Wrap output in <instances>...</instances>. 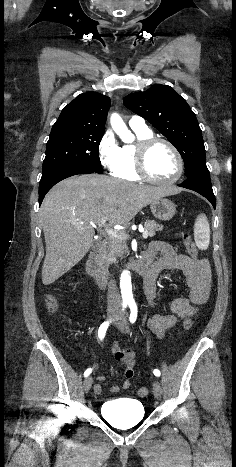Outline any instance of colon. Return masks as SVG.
Segmentation results:
<instances>
[{
    "mask_svg": "<svg viewBox=\"0 0 236 467\" xmlns=\"http://www.w3.org/2000/svg\"><path fill=\"white\" fill-rule=\"evenodd\" d=\"M182 239H183V244L187 250V252L189 253V255L196 259L198 257V250L195 246V244L192 242L191 240V237L190 235L185 232L183 233L182 235ZM46 304H47V307L49 309L50 312L54 313L57 311L58 309V300L56 298V296L50 294L47 296V299H46ZM192 325H193V322L190 318H187L185 321H184V328L186 330H189L192 328ZM122 358V354H117L116 355V359H120ZM147 393V388L146 387H142L140 390H139V395L143 396Z\"/></svg>",
    "mask_w": 236,
    "mask_h": 467,
    "instance_id": "obj_1",
    "label": "colon"
}]
</instances>
